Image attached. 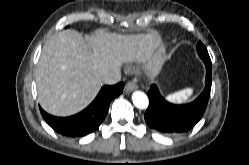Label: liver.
<instances>
[{"label":"liver","mask_w":249,"mask_h":165,"mask_svg":"<svg viewBox=\"0 0 249 165\" xmlns=\"http://www.w3.org/2000/svg\"><path fill=\"white\" fill-rule=\"evenodd\" d=\"M153 34L121 35L98 30L86 39L67 29L43 47L37 68L38 102L49 114L70 116L87 107L99 92L102 75L118 71L125 62L159 60Z\"/></svg>","instance_id":"1"}]
</instances>
